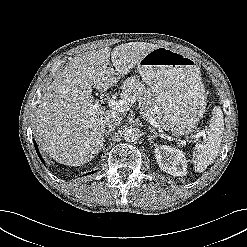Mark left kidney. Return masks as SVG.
Returning <instances> with one entry per match:
<instances>
[{
	"instance_id": "left-kidney-1",
	"label": "left kidney",
	"mask_w": 247,
	"mask_h": 247,
	"mask_svg": "<svg viewBox=\"0 0 247 247\" xmlns=\"http://www.w3.org/2000/svg\"><path fill=\"white\" fill-rule=\"evenodd\" d=\"M155 157L160 169L173 176L187 174V160L182 151L162 145L155 148Z\"/></svg>"
}]
</instances>
